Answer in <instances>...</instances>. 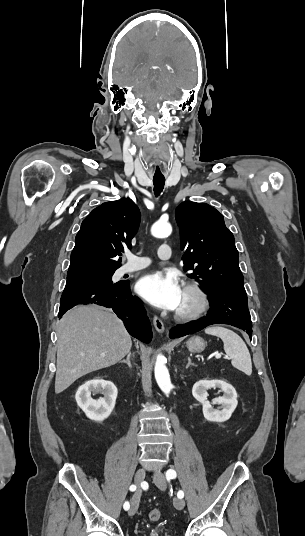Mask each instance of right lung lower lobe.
Segmentation results:
<instances>
[{
  "label": "right lung lower lobe",
  "mask_w": 305,
  "mask_h": 536,
  "mask_svg": "<svg viewBox=\"0 0 305 536\" xmlns=\"http://www.w3.org/2000/svg\"><path fill=\"white\" fill-rule=\"evenodd\" d=\"M94 303L112 308L124 322L127 331L142 342L149 343L152 330L140 300L131 294L129 283L111 287L92 284L66 285L60 300L58 317L78 304Z\"/></svg>",
  "instance_id": "1"
}]
</instances>
